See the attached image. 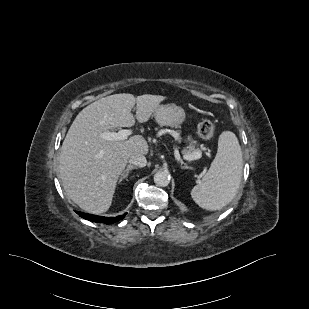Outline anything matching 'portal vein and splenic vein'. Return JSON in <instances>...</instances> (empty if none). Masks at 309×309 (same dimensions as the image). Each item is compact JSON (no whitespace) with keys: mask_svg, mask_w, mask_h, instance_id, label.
<instances>
[{"mask_svg":"<svg viewBox=\"0 0 309 309\" xmlns=\"http://www.w3.org/2000/svg\"><path fill=\"white\" fill-rule=\"evenodd\" d=\"M131 134H132L131 130L122 129V130H119L118 132H109V131L103 132L100 136L101 138L106 139V140L121 141V140L127 139V137ZM201 156H202L201 152L197 151V152H194L193 154L186 155L185 159L188 161H192V160H197L201 158Z\"/></svg>","mask_w":309,"mask_h":309,"instance_id":"1","label":"portal vein and splenic vein"}]
</instances>
